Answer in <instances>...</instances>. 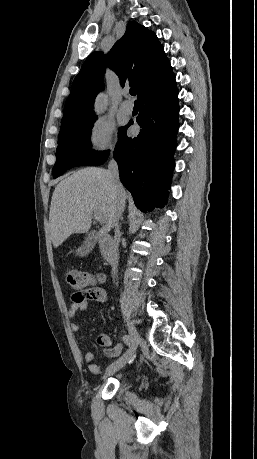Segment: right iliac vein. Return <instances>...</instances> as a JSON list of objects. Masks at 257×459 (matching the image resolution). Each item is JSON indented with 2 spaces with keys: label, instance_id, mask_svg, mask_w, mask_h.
I'll use <instances>...</instances> for the list:
<instances>
[{
  "label": "right iliac vein",
  "instance_id": "1",
  "mask_svg": "<svg viewBox=\"0 0 257 459\" xmlns=\"http://www.w3.org/2000/svg\"><path fill=\"white\" fill-rule=\"evenodd\" d=\"M129 335H130V344H129V349L128 351L116 362L112 363L105 371L103 375V379L106 377L114 374L115 372L119 371L121 368H123L129 361H131L134 358V353L136 351L138 341L140 339V335L137 331V329L133 326H129Z\"/></svg>",
  "mask_w": 257,
  "mask_h": 459
}]
</instances>
